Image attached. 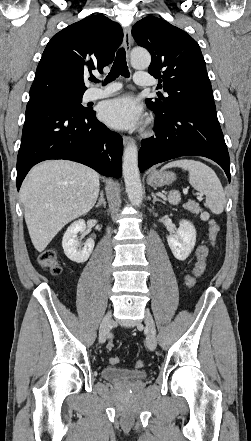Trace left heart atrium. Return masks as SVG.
Instances as JSON below:
<instances>
[{"instance_id":"39dd6f15","label":"left heart atrium","mask_w":251,"mask_h":441,"mask_svg":"<svg viewBox=\"0 0 251 441\" xmlns=\"http://www.w3.org/2000/svg\"><path fill=\"white\" fill-rule=\"evenodd\" d=\"M99 117L107 125L118 129H132L141 124L142 108L130 96L105 101L99 109Z\"/></svg>"}]
</instances>
